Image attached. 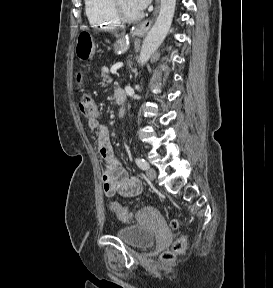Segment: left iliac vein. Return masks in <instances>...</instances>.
<instances>
[{
    "instance_id": "left-iliac-vein-1",
    "label": "left iliac vein",
    "mask_w": 273,
    "mask_h": 288,
    "mask_svg": "<svg viewBox=\"0 0 273 288\" xmlns=\"http://www.w3.org/2000/svg\"><path fill=\"white\" fill-rule=\"evenodd\" d=\"M146 175H147L149 180L153 181L156 179L157 173L154 169L150 168L146 171Z\"/></svg>"
}]
</instances>
